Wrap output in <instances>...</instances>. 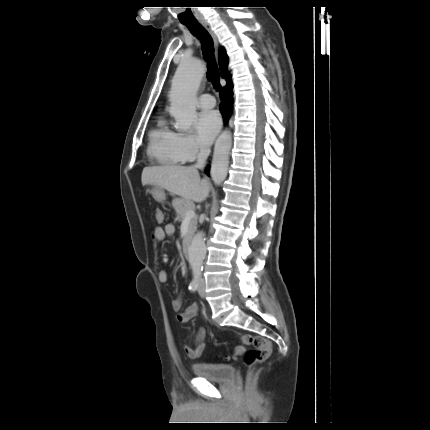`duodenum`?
<instances>
[{
  "instance_id": "410a0bca",
  "label": "duodenum",
  "mask_w": 430,
  "mask_h": 430,
  "mask_svg": "<svg viewBox=\"0 0 430 430\" xmlns=\"http://www.w3.org/2000/svg\"><path fill=\"white\" fill-rule=\"evenodd\" d=\"M190 247H191V240L190 238H186L183 242L182 251L184 257L189 260L190 259Z\"/></svg>"
}]
</instances>
